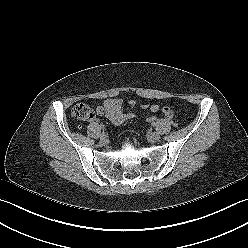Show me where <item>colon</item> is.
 <instances>
[{
  "instance_id": "obj_1",
  "label": "colon",
  "mask_w": 248,
  "mask_h": 248,
  "mask_svg": "<svg viewBox=\"0 0 248 248\" xmlns=\"http://www.w3.org/2000/svg\"><path fill=\"white\" fill-rule=\"evenodd\" d=\"M72 115L75 119L82 121V122H88L94 118L93 110L84 103L76 104L72 109ZM146 120L148 123L153 124L157 120V117L154 115H151V116H148Z\"/></svg>"
}]
</instances>
